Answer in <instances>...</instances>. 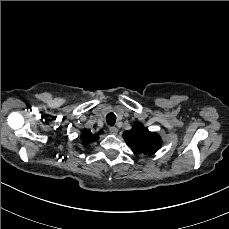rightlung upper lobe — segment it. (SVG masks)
<instances>
[{
  "instance_id": "cb5924a9",
  "label": "right lung upper lobe",
  "mask_w": 229,
  "mask_h": 229,
  "mask_svg": "<svg viewBox=\"0 0 229 229\" xmlns=\"http://www.w3.org/2000/svg\"><path fill=\"white\" fill-rule=\"evenodd\" d=\"M102 131L99 132L101 134ZM98 140V134H92L90 130H85L81 134V141L84 146H87L91 142H95Z\"/></svg>"
}]
</instances>
